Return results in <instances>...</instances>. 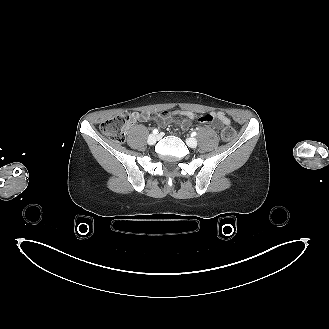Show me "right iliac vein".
<instances>
[{
	"label": "right iliac vein",
	"instance_id": "obj_1",
	"mask_svg": "<svg viewBox=\"0 0 329 329\" xmlns=\"http://www.w3.org/2000/svg\"><path fill=\"white\" fill-rule=\"evenodd\" d=\"M159 140V135L155 136V135H150L147 139V143L149 145H153L156 143V141Z\"/></svg>",
	"mask_w": 329,
	"mask_h": 329
}]
</instances>
